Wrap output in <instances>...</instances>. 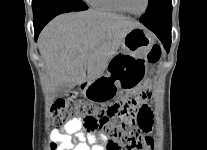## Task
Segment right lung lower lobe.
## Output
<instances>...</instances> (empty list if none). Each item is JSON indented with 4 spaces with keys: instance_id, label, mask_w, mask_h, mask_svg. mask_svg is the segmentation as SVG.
Wrapping results in <instances>:
<instances>
[{
    "instance_id": "obj_1",
    "label": "right lung lower lobe",
    "mask_w": 207,
    "mask_h": 150,
    "mask_svg": "<svg viewBox=\"0 0 207 150\" xmlns=\"http://www.w3.org/2000/svg\"><path fill=\"white\" fill-rule=\"evenodd\" d=\"M65 12H70L67 9H53L50 10L38 17L34 18L33 24H34V30H35V40H37V37L40 33V31L43 29V27L55 16L65 13Z\"/></svg>"
}]
</instances>
